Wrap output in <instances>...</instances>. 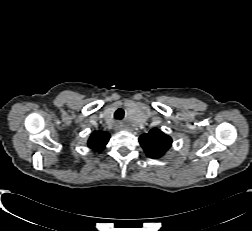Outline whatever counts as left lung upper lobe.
Masks as SVG:
<instances>
[{
	"label": "left lung upper lobe",
	"mask_w": 252,
	"mask_h": 231,
	"mask_svg": "<svg viewBox=\"0 0 252 231\" xmlns=\"http://www.w3.org/2000/svg\"><path fill=\"white\" fill-rule=\"evenodd\" d=\"M139 142L150 158H160L172 145V139L157 128L141 135Z\"/></svg>",
	"instance_id": "left-lung-upper-lobe-1"
}]
</instances>
